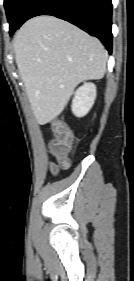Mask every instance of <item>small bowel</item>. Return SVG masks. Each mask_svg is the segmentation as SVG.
Returning a JSON list of instances; mask_svg holds the SVG:
<instances>
[{
    "label": "small bowel",
    "mask_w": 134,
    "mask_h": 281,
    "mask_svg": "<svg viewBox=\"0 0 134 281\" xmlns=\"http://www.w3.org/2000/svg\"><path fill=\"white\" fill-rule=\"evenodd\" d=\"M49 168H50L51 172L54 173V174H57L59 172V169H60L59 166L54 162H51L49 164Z\"/></svg>",
    "instance_id": "obj_1"
}]
</instances>
